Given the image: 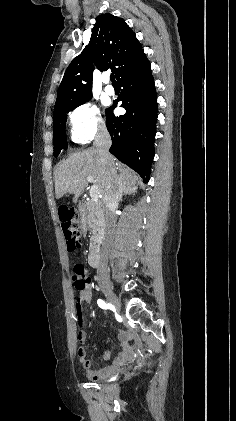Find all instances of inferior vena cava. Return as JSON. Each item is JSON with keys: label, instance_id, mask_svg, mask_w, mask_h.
<instances>
[{"label": "inferior vena cava", "instance_id": "inferior-vena-cava-1", "mask_svg": "<svg viewBox=\"0 0 236 421\" xmlns=\"http://www.w3.org/2000/svg\"><path fill=\"white\" fill-rule=\"evenodd\" d=\"M112 144L111 136L106 128V126H99L96 136L94 138V146H96L99 154L100 160L106 166H109L110 174H109V182L105 188V192L103 194L104 200V239L102 243L101 249V259H100V267L98 269V273H102L105 267H107L108 257L106 255V251L110 249L113 241V231L115 227V211H117L119 198L122 194V188H120L119 184H116L117 178V170L110 166L109 160L112 158L109 148Z\"/></svg>", "mask_w": 236, "mask_h": 421}]
</instances>
